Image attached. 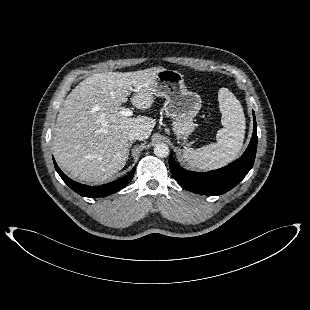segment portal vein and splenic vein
<instances>
[{
	"instance_id": "portal-vein-and-splenic-vein-1",
	"label": "portal vein and splenic vein",
	"mask_w": 310,
	"mask_h": 310,
	"mask_svg": "<svg viewBox=\"0 0 310 310\" xmlns=\"http://www.w3.org/2000/svg\"><path fill=\"white\" fill-rule=\"evenodd\" d=\"M120 114L123 115V116H132L133 115V111L130 110V109H125L123 108L121 111H120Z\"/></svg>"
}]
</instances>
